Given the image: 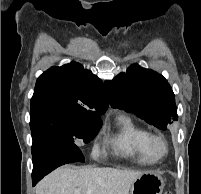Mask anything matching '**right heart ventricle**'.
<instances>
[{
	"instance_id": "obj_1",
	"label": "right heart ventricle",
	"mask_w": 201,
	"mask_h": 194,
	"mask_svg": "<svg viewBox=\"0 0 201 194\" xmlns=\"http://www.w3.org/2000/svg\"><path fill=\"white\" fill-rule=\"evenodd\" d=\"M117 123L118 130L111 139L115 151L143 164L154 163L156 159L147 149L149 132L126 115L119 116Z\"/></svg>"
}]
</instances>
